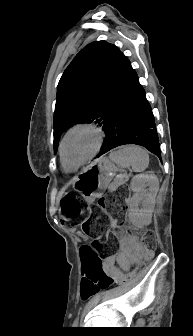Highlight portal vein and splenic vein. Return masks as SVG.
Here are the masks:
<instances>
[{"label": "portal vein and splenic vein", "mask_w": 193, "mask_h": 336, "mask_svg": "<svg viewBox=\"0 0 193 336\" xmlns=\"http://www.w3.org/2000/svg\"><path fill=\"white\" fill-rule=\"evenodd\" d=\"M120 176H123V177H125L126 175H119L118 177H120Z\"/></svg>", "instance_id": "portal-vein-and-splenic-vein-1"}]
</instances>
